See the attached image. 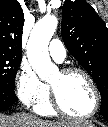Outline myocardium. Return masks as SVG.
<instances>
[{"label": "myocardium", "mask_w": 108, "mask_h": 127, "mask_svg": "<svg viewBox=\"0 0 108 127\" xmlns=\"http://www.w3.org/2000/svg\"><path fill=\"white\" fill-rule=\"evenodd\" d=\"M59 73L63 76H66V75H69L72 73L81 74L86 79V81L88 82V84L90 85V87L92 89V92L94 95V105H93L92 110L85 115L72 114V113L68 112L62 105L60 98H59V94H58L57 90L55 89V87L53 85L49 84L50 100H51V104H52V107L54 108V110L64 116L71 117L74 119H88V118H91L92 116H94L100 106V93H99L98 87H97L94 79L92 78V76L86 70L79 68V67H72V66L62 68L59 71Z\"/></svg>", "instance_id": "1"}]
</instances>
